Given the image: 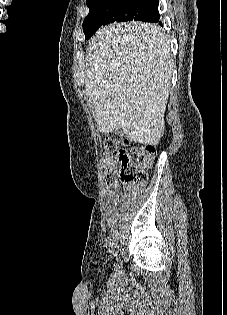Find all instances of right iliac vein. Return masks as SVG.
<instances>
[{"label":"right iliac vein","instance_id":"obj_1","mask_svg":"<svg viewBox=\"0 0 227 315\" xmlns=\"http://www.w3.org/2000/svg\"><path fill=\"white\" fill-rule=\"evenodd\" d=\"M113 248H114V249L117 248V244H116V243L113 244Z\"/></svg>","mask_w":227,"mask_h":315}]
</instances>
